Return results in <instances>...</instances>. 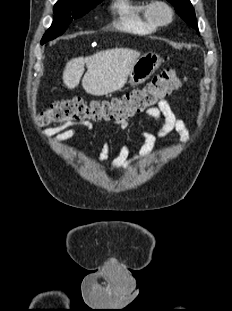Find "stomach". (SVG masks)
<instances>
[{"mask_svg": "<svg viewBox=\"0 0 232 311\" xmlns=\"http://www.w3.org/2000/svg\"><path fill=\"white\" fill-rule=\"evenodd\" d=\"M162 59L153 52L142 55L131 68L129 73V84L139 85L144 83L160 67Z\"/></svg>", "mask_w": 232, "mask_h": 311, "instance_id": "stomach-1", "label": "stomach"}]
</instances>
